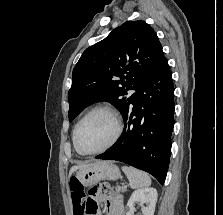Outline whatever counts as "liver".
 Masks as SVG:
<instances>
[{
	"label": "liver",
	"instance_id": "6515ba94",
	"mask_svg": "<svg viewBox=\"0 0 223 215\" xmlns=\"http://www.w3.org/2000/svg\"><path fill=\"white\" fill-rule=\"evenodd\" d=\"M89 165H91V163H87V161H84V163H80V165H73V167H71L69 171V177H71L72 173H74V171H77V169H83V167H89Z\"/></svg>",
	"mask_w": 223,
	"mask_h": 215
}]
</instances>
